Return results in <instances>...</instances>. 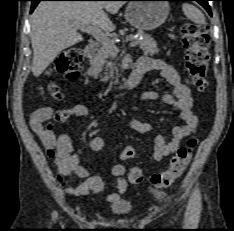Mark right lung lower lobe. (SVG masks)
Segmentation results:
<instances>
[{
	"mask_svg": "<svg viewBox=\"0 0 234 231\" xmlns=\"http://www.w3.org/2000/svg\"><path fill=\"white\" fill-rule=\"evenodd\" d=\"M30 1L32 2L31 6V12H32L40 1H79V0H30ZM80 1H95V0H80ZM105 1H110V0H105Z\"/></svg>",
	"mask_w": 234,
	"mask_h": 231,
	"instance_id": "right-lung-lower-lobe-1",
	"label": "right lung lower lobe"
}]
</instances>
